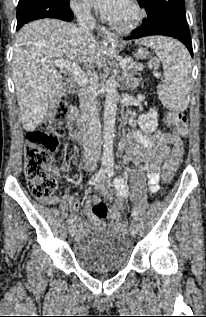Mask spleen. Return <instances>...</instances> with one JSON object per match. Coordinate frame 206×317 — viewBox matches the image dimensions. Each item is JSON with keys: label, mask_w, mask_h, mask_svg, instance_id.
Wrapping results in <instances>:
<instances>
[{"label": "spleen", "mask_w": 206, "mask_h": 317, "mask_svg": "<svg viewBox=\"0 0 206 317\" xmlns=\"http://www.w3.org/2000/svg\"><path fill=\"white\" fill-rule=\"evenodd\" d=\"M150 47L160 58L164 81L157 86V94L169 110L183 112L190 101L191 58L178 41L167 37H147L136 41Z\"/></svg>", "instance_id": "1"}]
</instances>
